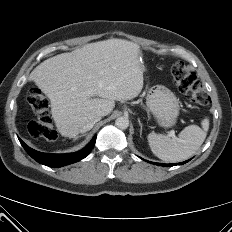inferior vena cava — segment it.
I'll use <instances>...</instances> for the list:
<instances>
[{
	"label": "inferior vena cava",
	"instance_id": "inferior-vena-cava-1",
	"mask_svg": "<svg viewBox=\"0 0 232 232\" xmlns=\"http://www.w3.org/2000/svg\"><path fill=\"white\" fill-rule=\"evenodd\" d=\"M101 114H92L88 117L87 123L80 129L81 133H84L86 131H89L96 122H98L101 119Z\"/></svg>",
	"mask_w": 232,
	"mask_h": 232
}]
</instances>
